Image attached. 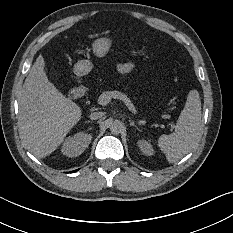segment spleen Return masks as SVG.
<instances>
[{"mask_svg":"<svg viewBox=\"0 0 233 233\" xmlns=\"http://www.w3.org/2000/svg\"><path fill=\"white\" fill-rule=\"evenodd\" d=\"M201 101L199 92L190 90L186 102L179 115L174 132L162 135L159 146L170 162L178 161L191 151L201 138Z\"/></svg>","mask_w":233,"mask_h":233,"instance_id":"spleen-1","label":"spleen"}]
</instances>
